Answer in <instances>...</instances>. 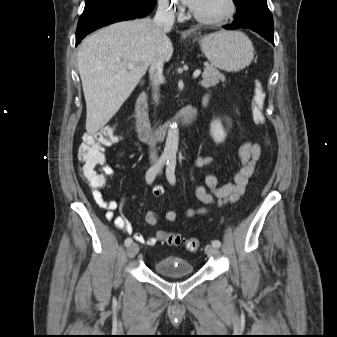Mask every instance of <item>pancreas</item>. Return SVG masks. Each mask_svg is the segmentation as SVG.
<instances>
[{"label":"pancreas","instance_id":"1","mask_svg":"<svg viewBox=\"0 0 337 337\" xmlns=\"http://www.w3.org/2000/svg\"><path fill=\"white\" fill-rule=\"evenodd\" d=\"M202 78L203 79L200 82V84L204 88L216 86L219 83V81L225 82L226 80L225 76L222 73H220V71L216 67L208 63L205 64Z\"/></svg>","mask_w":337,"mask_h":337}]
</instances>
